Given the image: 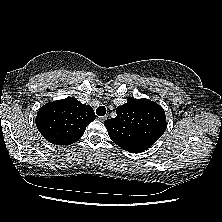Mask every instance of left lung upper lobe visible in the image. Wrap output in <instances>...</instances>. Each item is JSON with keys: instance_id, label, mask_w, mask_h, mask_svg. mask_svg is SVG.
<instances>
[{"instance_id": "left-lung-upper-lobe-1", "label": "left lung upper lobe", "mask_w": 222, "mask_h": 222, "mask_svg": "<svg viewBox=\"0 0 222 222\" xmlns=\"http://www.w3.org/2000/svg\"><path fill=\"white\" fill-rule=\"evenodd\" d=\"M116 113L104 125L112 141L129 152L148 149L167 127L163 108L148 99L129 98Z\"/></svg>"}]
</instances>
